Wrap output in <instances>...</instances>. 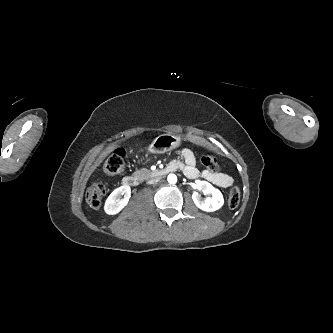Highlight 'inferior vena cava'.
Returning <instances> with one entry per match:
<instances>
[{
	"label": "inferior vena cava",
	"instance_id": "1",
	"mask_svg": "<svg viewBox=\"0 0 333 333\" xmlns=\"http://www.w3.org/2000/svg\"><path fill=\"white\" fill-rule=\"evenodd\" d=\"M160 180V177L152 178L147 181L148 184H154L157 183Z\"/></svg>",
	"mask_w": 333,
	"mask_h": 333
}]
</instances>
